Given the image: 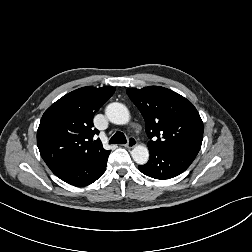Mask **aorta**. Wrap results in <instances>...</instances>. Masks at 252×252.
<instances>
[{
	"label": "aorta",
	"mask_w": 252,
	"mask_h": 252,
	"mask_svg": "<svg viewBox=\"0 0 252 252\" xmlns=\"http://www.w3.org/2000/svg\"><path fill=\"white\" fill-rule=\"evenodd\" d=\"M110 122L117 125L127 124L130 120V113L127 107L121 103H110L105 110ZM133 160L140 165L146 164L149 159V151L146 146L137 145L131 151Z\"/></svg>",
	"instance_id": "aorta-1"
}]
</instances>
